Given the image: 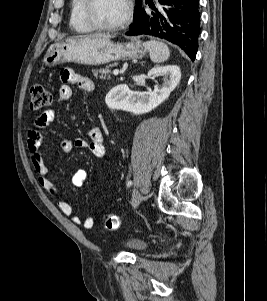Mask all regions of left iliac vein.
I'll return each instance as SVG.
<instances>
[{"label": "left iliac vein", "instance_id": "1", "mask_svg": "<svg viewBox=\"0 0 267 301\" xmlns=\"http://www.w3.org/2000/svg\"><path fill=\"white\" fill-rule=\"evenodd\" d=\"M140 201H141V194L139 193V191L137 189H134L133 194H132L133 207H137L139 205Z\"/></svg>", "mask_w": 267, "mask_h": 301}]
</instances>
